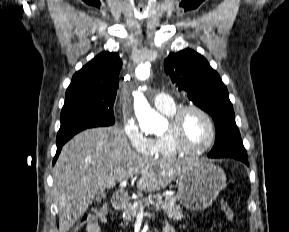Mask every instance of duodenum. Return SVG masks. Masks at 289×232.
Instances as JSON below:
<instances>
[{
	"label": "duodenum",
	"mask_w": 289,
	"mask_h": 232,
	"mask_svg": "<svg viewBox=\"0 0 289 232\" xmlns=\"http://www.w3.org/2000/svg\"><path fill=\"white\" fill-rule=\"evenodd\" d=\"M112 203L115 209L122 210L129 203L128 194L123 190H117L112 197Z\"/></svg>",
	"instance_id": "duodenum-1"
}]
</instances>
